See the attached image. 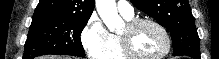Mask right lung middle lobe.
<instances>
[{"instance_id": "right-lung-middle-lobe-1", "label": "right lung middle lobe", "mask_w": 219, "mask_h": 59, "mask_svg": "<svg viewBox=\"0 0 219 59\" xmlns=\"http://www.w3.org/2000/svg\"><path fill=\"white\" fill-rule=\"evenodd\" d=\"M88 20L89 17L33 15L23 59L45 54L85 57L80 35Z\"/></svg>"}]
</instances>
